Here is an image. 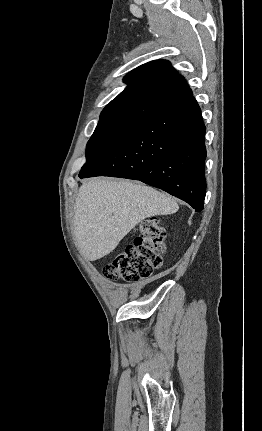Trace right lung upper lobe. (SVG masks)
<instances>
[{
	"mask_svg": "<svg viewBox=\"0 0 262 431\" xmlns=\"http://www.w3.org/2000/svg\"><path fill=\"white\" fill-rule=\"evenodd\" d=\"M124 82L128 86L103 109L98 125H135L193 97L184 77L167 60L139 66Z\"/></svg>",
	"mask_w": 262,
	"mask_h": 431,
	"instance_id": "obj_1",
	"label": "right lung upper lobe"
}]
</instances>
